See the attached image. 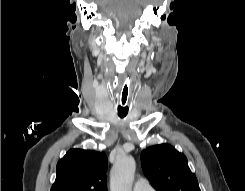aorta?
<instances>
[{
    "label": "aorta",
    "instance_id": "762f6f07",
    "mask_svg": "<svg viewBox=\"0 0 245 191\" xmlns=\"http://www.w3.org/2000/svg\"><path fill=\"white\" fill-rule=\"evenodd\" d=\"M136 163L131 156L117 158L110 177V191H132Z\"/></svg>",
    "mask_w": 245,
    "mask_h": 191
}]
</instances>
